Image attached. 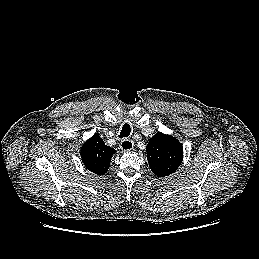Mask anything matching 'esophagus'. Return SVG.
Wrapping results in <instances>:
<instances>
[{"label":"esophagus","instance_id":"esophagus-1","mask_svg":"<svg viewBox=\"0 0 259 259\" xmlns=\"http://www.w3.org/2000/svg\"><path fill=\"white\" fill-rule=\"evenodd\" d=\"M119 146H120V149L123 151H131L134 149L133 141L128 139L122 140Z\"/></svg>","mask_w":259,"mask_h":259}]
</instances>
